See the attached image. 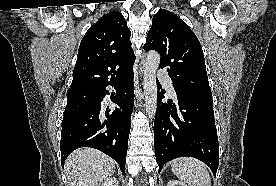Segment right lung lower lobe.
I'll list each match as a JSON object with an SVG mask.
<instances>
[{"mask_svg": "<svg viewBox=\"0 0 276 186\" xmlns=\"http://www.w3.org/2000/svg\"><path fill=\"white\" fill-rule=\"evenodd\" d=\"M133 71L121 81L113 84L117 90L111 101L118 105L114 111L108 108L102 112L101 102L106 94V86L73 103H67L62 120L61 164L74 150L81 147L98 149L120 166L125 173L131 114L134 102ZM113 95V93H112Z\"/></svg>", "mask_w": 276, "mask_h": 186, "instance_id": "1", "label": "right lung lower lobe"}]
</instances>
